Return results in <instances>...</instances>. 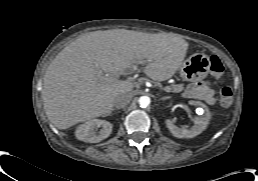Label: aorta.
Returning a JSON list of instances; mask_svg holds the SVG:
<instances>
[{"instance_id":"aorta-1","label":"aorta","mask_w":258,"mask_h":181,"mask_svg":"<svg viewBox=\"0 0 258 181\" xmlns=\"http://www.w3.org/2000/svg\"><path fill=\"white\" fill-rule=\"evenodd\" d=\"M151 99L148 96H141L138 100L140 107L146 108L150 105Z\"/></svg>"}]
</instances>
